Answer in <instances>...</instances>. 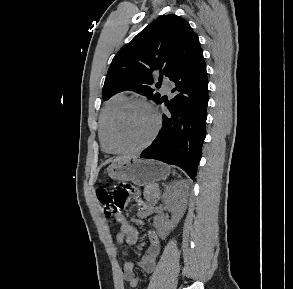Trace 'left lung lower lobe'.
<instances>
[{
  "mask_svg": "<svg viewBox=\"0 0 293 289\" xmlns=\"http://www.w3.org/2000/svg\"><path fill=\"white\" fill-rule=\"evenodd\" d=\"M174 82L170 103L163 97L169 113L163 114L162 128L140 155L182 168L195 180L206 136L205 124L208 104V79L203 51L193 61L170 78Z\"/></svg>",
  "mask_w": 293,
  "mask_h": 289,
  "instance_id": "0a47b994",
  "label": "left lung lower lobe"
}]
</instances>
